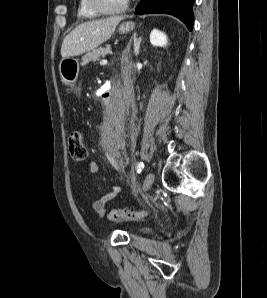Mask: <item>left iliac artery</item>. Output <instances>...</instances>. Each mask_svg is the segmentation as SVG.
Here are the masks:
<instances>
[{"instance_id":"1","label":"left iliac artery","mask_w":267,"mask_h":298,"mask_svg":"<svg viewBox=\"0 0 267 298\" xmlns=\"http://www.w3.org/2000/svg\"><path fill=\"white\" fill-rule=\"evenodd\" d=\"M143 169H144V163L143 162H139L137 164V173L140 174Z\"/></svg>"}]
</instances>
